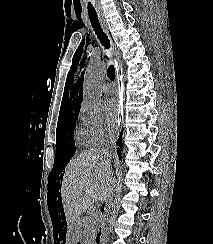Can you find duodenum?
Instances as JSON below:
<instances>
[{"label":"duodenum","instance_id":"duodenum-1","mask_svg":"<svg viewBox=\"0 0 213 244\" xmlns=\"http://www.w3.org/2000/svg\"><path fill=\"white\" fill-rule=\"evenodd\" d=\"M106 218V213L105 211H102L101 212V219H105ZM103 229L102 228H99L98 231L96 232V235H95V240H94V244H103L102 242V237H103Z\"/></svg>","mask_w":213,"mask_h":244}]
</instances>
